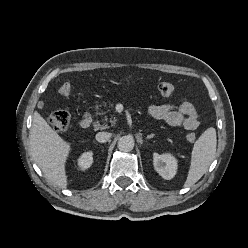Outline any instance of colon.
Masks as SVG:
<instances>
[{
    "mask_svg": "<svg viewBox=\"0 0 248 248\" xmlns=\"http://www.w3.org/2000/svg\"><path fill=\"white\" fill-rule=\"evenodd\" d=\"M158 91L161 95L168 96L171 95L174 91L173 84L169 82H161L158 85ZM59 93L62 96H68L71 93V86L68 83L63 84L59 88ZM49 124L55 131H64L66 130L71 122L70 112L66 109L57 110L51 113L49 116ZM186 138L189 142L193 143L196 140V134L194 132H189L186 135Z\"/></svg>",
    "mask_w": 248,
    "mask_h": 248,
    "instance_id": "1",
    "label": "colon"
}]
</instances>
